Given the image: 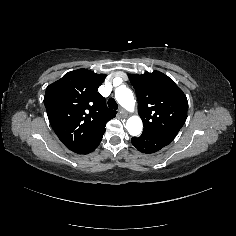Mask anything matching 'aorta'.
I'll list each match as a JSON object with an SVG mask.
<instances>
[{"label": "aorta", "mask_w": 236, "mask_h": 236, "mask_svg": "<svg viewBox=\"0 0 236 236\" xmlns=\"http://www.w3.org/2000/svg\"><path fill=\"white\" fill-rule=\"evenodd\" d=\"M117 102L129 111L134 110L135 100L131 89L123 88L115 91ZM143 124L138 116L130 117L126 122V129L132 136H138L142 132Z\"/></svg>", "instance_id": "obj_1"}]
</instances>
